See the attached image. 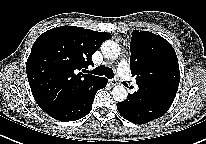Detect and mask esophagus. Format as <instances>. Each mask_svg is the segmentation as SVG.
Returning a JSON list of instances; mask_svg holds the SVG:
<instances>
[{
	"label": "esophagus",
	"instance_id": "esophagus-1",
	"mask_svg": "<svg viewBox=\"0 0 206 144\" xmlns=\"http://www.w3.org/2000/svg\"><path fill=\"white\" fill-rule=\"evenodd\" d=\"M109 83H110L112 86H115V85L118 84V80H116V79H110V80H109Z\"/></svg>",
	"mask_w": 206,
	"mask_h": 144
}]
</instances>
